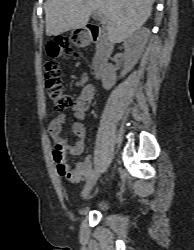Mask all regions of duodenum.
Listing matches in <instances>:
<instances>
[{"label":"duodenum","instance_id":"obj_1","mask_svg":"<svg viewBox=\"0 0 194 250\" xmlns=\"http://www.w3.org/2000/svg\"><path fill=\"white\" fill-rule=\"evenodd\" d=\"M83 37L96 44V54L93 59V74L95 77L102 75L110 55L113 51V44L101 26L89 23L86 26V33Z\"/></svg>","mask_w":194,"mask_h":250}]
</instances>
